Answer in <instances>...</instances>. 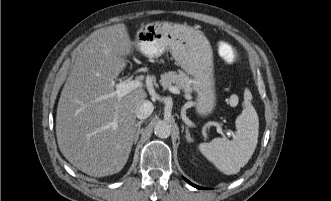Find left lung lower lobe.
Instances as JSON below:
<instances>
[{
	"label": "left lung lower lobe",
	"instance_id": "0a47b994",
	"mask_svg": "<svg viewBox=\"0 0 331 201\" xmlns=\"http://www.w3.org/2000/svg\"><path fill=\"white\" fill-rule=\"evenodd\" d=\"M185 180H186L190 185H192V186H194V187H196V188H198V189H204V188H202V187H199V186H197V185L191 183V182L188 181L187 179H185Z\"/></svg>",
	"mask_w": 331,
	"mask_h": 201
}]
</instances>
